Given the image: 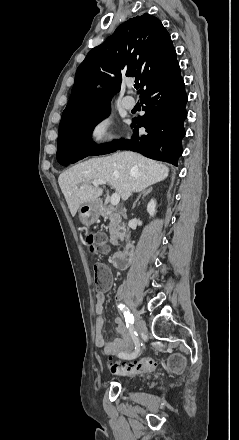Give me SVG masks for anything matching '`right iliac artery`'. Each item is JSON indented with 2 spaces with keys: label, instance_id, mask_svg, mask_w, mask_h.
Listing matches in <instances>:
<instances>
[{
  "label": "right iliac artery",
  "instance_id": "obj_1",
  "mask_svg": "<svg viewBox=\"0 0 239 440\" xmlns=\"http://www.w3.org/2000/svg\"><path fill=\"white\" fill-rule=\"evenodd\" d=\"M120 311H122V313L124 314L125 317V321H126V326L131 334V337L135 343V350L133 352L130 353H123V354H119V357L124 358V359H134L137 358L142 350V344L139 342L138 340V334L137 332L134 330V317L131 314V312L129 311V309L122 303H119L117 306Z\"/></svg>",
  "mask_w": 239,
  "mask_h": 440
}]
</instances>
